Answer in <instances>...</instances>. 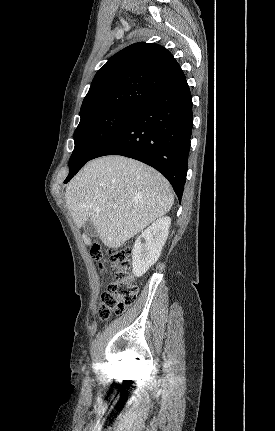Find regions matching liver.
<instances>
[{
  "label": "liver",
  "instance_id": "obj_1",
  "mask_svg": "<svg viewBox=\"0 0 275 431\" xmlns=\"http://www.w3.org/2000/svg\"><path fill=\"white\" fill-rule=\"evenodd\" d=\"M65 201L78 228L90 219L102 243L117 249L169 212L174 195L155 169L111 155L88 162L66 188Z\"/></svg>",
  "mask_w": 275,
  "mask_h": 431
}]
</instances>
